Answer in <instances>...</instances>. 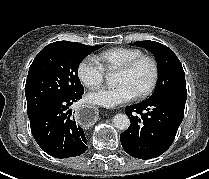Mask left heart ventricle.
Here are the masks:
<instances>
[{
	"label": "left heart ventricle",
	"instance_id": "obj_1",
	"mask_svg": "<svg viewBox=\"0 0 209 179\" xmlns=\"http://www.w3.org/2000/svg\"><path fill=\"white\" fill-rule=\"evenodd\" d=\"M152 74L153 69L150 62L142 61L130 73L117 72L115 75V84H126L135 94H138L149 85Z\"/></svg>",
	"mask_w": 209,
	"mask_h": 179
}]
</instances>
